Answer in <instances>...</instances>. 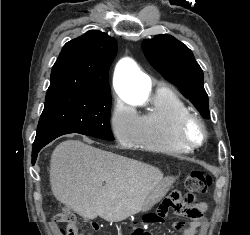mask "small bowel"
Wrapping results in <instances>:
<instances>
[{
  "instance_id": "obj_1",
  "label": "small bowel",
  "mask_w": 250,
  "mask_h": 235,
  "mask_svg": "<svg viewBox=\"0 0 250 235\" xmlns=\"http://www.w3.org/2000/svg\"><path fill=\"white\" fill-rule=\"evenodd\" d=\"M171 202L166 201L162 204L160 207V216L161 218L165 216V214L171 209ZM207 211V205L204 202H199L191 207L181 206L178 210H175V212L182 216H190L193 213H196L197 216L192 219L190 224L183 228L182 224H178L177 228L182 229L181 235H198L201 227L204 225L205 220L203 218L204 213ZM161 222V220L159 221ZM98 229V228H96ZM139 229L131 228L130 229V235H138Z\"/></svg>"
}]
</instances>
